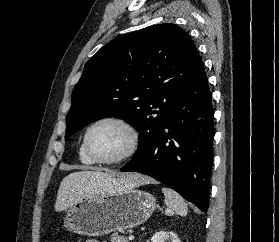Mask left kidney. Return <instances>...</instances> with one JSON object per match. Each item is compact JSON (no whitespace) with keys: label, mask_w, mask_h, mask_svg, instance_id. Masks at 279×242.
<instances>
[{"label":"left kidney","mask_w":279,"mask_h":242,"mask_svg":"<svg viewBox=\"0 0 279 242\" xmlns=\"http://www.w3.org/2000/svg\"><path fill=\"white\" fill-rule=\"evenodd\" d=\"M152 242H181L178 238V236L172 232V231H158L156 232L152 238H151Z\"/></svg>","instance_id":"1"}]
</instances>
